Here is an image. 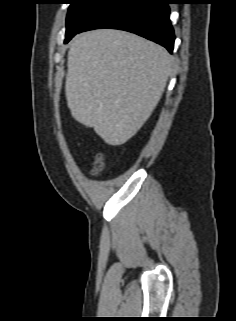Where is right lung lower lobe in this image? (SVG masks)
Returning a JSON list of instances; mask_svg holds the SVG:
<instances>
[{
	"label": "right lung lower lobe",
	"instance_id": "1",
	"mask_svg": "<svg viewBox=\"0 0 236 321\" xmlns=\"http://www.w3.org/2000/svg\"><path fill=\"white\" fill-rule=\"evenodd\" d=\"M167 0H108L76 32L99 28L126 30L174 48V31Z\"/></svg>",
	"mask_w": 236,
	"mask_h": 321
}]
</instances>
